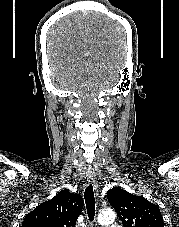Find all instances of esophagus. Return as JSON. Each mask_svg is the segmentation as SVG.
<instances>
[{"mask_svg":"<svg viewBox=\"0 0 179 227\" xmlns=\"http://www.w3.org/2000/svg\"><path fill=\"white\" fill-rule=\"evenodd\" d=\"M87 180L90 184H92L95 194L98 196V184L97 181L95 179L94 174L92 173V171H89L87 174Z\"/></svg>","mask_w":179,"mask_h":227,"instance_id":"1","label":"esophagus"}]
</instances>
